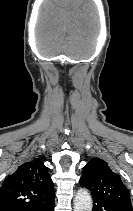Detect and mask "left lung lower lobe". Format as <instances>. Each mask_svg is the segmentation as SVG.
Returning a JSON list of instances; mask_svg holds the SVG:
<instances>
[{
  "label": "left lung lower lobe",
  "mask_w": 133,
  "mask_h": 211,
  "mask_svg": "<svg viewBox=\"0 0 133 211\" xmlns=\"http://www.w3.org/2000/svg\"><path fill=\"white\" fill-rule=\"evenodd\" d=\"M93 210L92 211H127L121 207L104 203L100 200L93 199Z\"/></svg>",
  "instance_id": "1"
}]
</instances>
